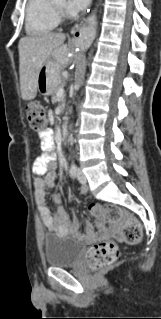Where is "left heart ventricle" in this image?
<instances>
[{"instance_id": "left-heart-ventricle-1", "label": "left heart ventricle", "mask_w": 161, "mask_h": 319, "mask_svg": "<svg viewBox=\"0 0 161 319\" xmlns=\"http://www.w3.org/2000/svg\"><path fill=\"white\" fill-rule=\"evenodd\" d=\"M55 4H57L58 6L64 8L65 7V0H57L55 2Z\"/></svg>"}]
</instances>
